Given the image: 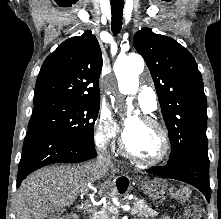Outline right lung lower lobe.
<instances>
[{"label": "right lung lower lobe", "mask_w": 221, "mask_h": 219, "mask_svg": "<svg viewBox=\"0 0 221 219\" xmlns=\"http://www.w3.org/2000/svg\"><path fill=\"white\" fill-rule=\"evenodd\" d=\"M97 156L94 146L78 143L57 133L30 128L26 134L18 168L17 187L38 168L53 163H79Z\"/></svg>", "instance_id": "obj_1"}]
</instances>
